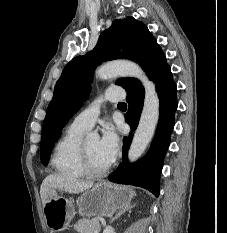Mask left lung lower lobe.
I'll list each match as a JSON object with an SVG mask.
<instances>
[{"mask_svg":"<svg viewBox=\"0 0 227 233\" xmlns=\"http://www.w3.org/2000/svg\"><path fill=\"white\" fill-rule=\"evenodd\" d=\"M154 82L160 98V118L151 147L148 153L138 162L128 163L127 152L133 138L132 132L138 126L144 102V89L130 91L126 98L129 108L125 119L131 127V135L123 138V161L109 175L108 179L119 184H130L145 188L158 196L160 191L159 176L170 143L174 127V115L177 110V87L169 66L158 75Z\"/></svg>","mask_w":227,"mask_h":233,"instance_id":"0a47b994","label":"left lung lower lobe"}]
</instances>
